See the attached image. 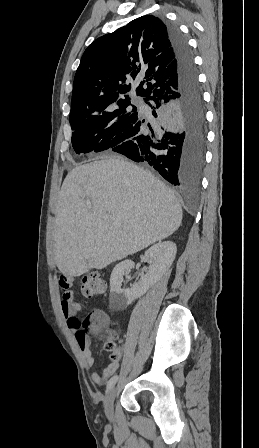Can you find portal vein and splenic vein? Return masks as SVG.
Returning a JSON list of instances; mask_svg holds the SVG:
<instances>
[{"label":"portal vein and splenic vein","mask_w":259,"mask_h":448,"mask_svg":"<svg viewBox=\"0 0 259 448\" xmlns=\"http://www.w3.org/2000/svg\"><path fill=\"white\" fill-rule=\"evenodd\" d=\"M102 218L103 220H108V218H110V214H103Z\"/></svg>","instance_id":"1"}]
</instances>
